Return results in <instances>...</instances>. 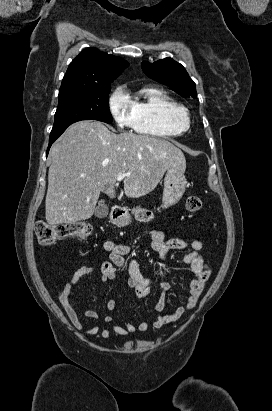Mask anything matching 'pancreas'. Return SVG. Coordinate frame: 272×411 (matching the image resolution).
I'll use <instances>...</instances> for the list:
<instances>
[{"mask_svg":"<svg viewBox=\"0 0 272 411\" xmlns=\"http://www.w3.org/2000/svg\"><path fill=\"white\" fill-rule=\"evenodd\" d=\"M140 211V208L139 207H136V208H133L132 209V213L134 214V213H138Z\"/></svg>","mask_w":272,"mask_h":411,"instance_id":"pancreas-1","label":"pancreas"}]
</instances>
